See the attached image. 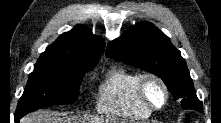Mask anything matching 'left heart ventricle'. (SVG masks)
<instances>
[{
    "mask_svg": "<svg viewBox=\"0 0 221 123\" xmlns=\"http://www.w3.org/2000/svg\"><path fill=\"white\" fill-rule=\"evenodd\" d=\"M146 95L149 101L155 106H160L164 101V92L162 88L155 82H149L147 84Z\"/></svg>",
    "mask_w": 221,
    "mask_h": 123,
    "instance_id": "left-heart-ventricle-1",
    "label": "left heart ventricle"
}]
</instances>
